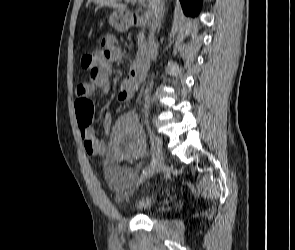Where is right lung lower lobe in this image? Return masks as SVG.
<instances>
[{
	"instance_id": "1",
	"label": "right lung lower lobe",
	"mask_w": 295,
	"mask_h": 250,
	"mask_svg": "<svg viewBox=\"0 0 295 250\" xmlns=\"http://www.w3.org/2000/svg\"><path fill=\"white\" fill-rule=\"evenodd\" d=\"M186 15L195 16L200 11L202 0H180Z\"/></svg>"
}]
</instances>
